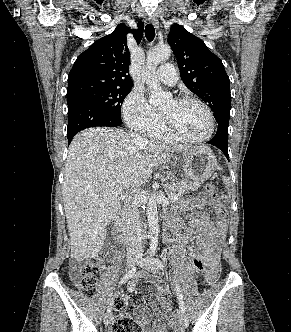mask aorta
<instances>
[{
  "mask_svg": "<svg viewBox=\"0 0 291 332\" xmlns=\"http://www.w3.org/2000/svg\"><path fill=\"white\" fill-rule=\"evenodd\" d=\"M171 56V48L168 45L156 46L148 52L146 60V68L142 71V77L145 79L150 91L149 102L151 105H160L171 99L172 95L161 89L159 81L156 77L157 66L169 59ZM156 194H151L147 204V219L150 231V251L155 253L158 246L159 236V220L157 211Z\"/></svg>",
  "mask_w": 291,
  "mask_h": 332,
  "instance_id": "aorta-1",
  "label": "aorta"
}]
</instances>
